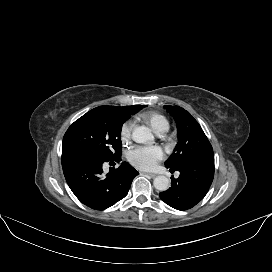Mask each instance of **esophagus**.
<instances>
[{
    "mask_svg": "<svg viewBox=\"0 0 272 272\" xmlns=\"http://www.w3.org/2000/svg\"><path fill=\"white\" fill-rule=\"evenodd\" d=\"M145 176H149L151 178H154L156 177V174H153V173H143Z\"/></svg>",
    "mask_w": 272,
    "mask_h": 272,
    "instance_id": "obj_1",
    "label": "esophagus"
}]
</instances>
